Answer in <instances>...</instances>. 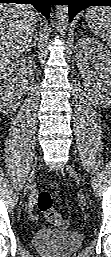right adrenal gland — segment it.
Masks as SVG:
<instances>
[{"mask_svg": "<svg viewBox=\"0 0 111 257\" xmlns=\"http://www.w3.org/2000/svg\"><path fill=\"white\" fill-rule=\"evenodd\" d=\"M36 40H37V36H34L32 41H31V43H30V45L25 50V53H28L31 50V48L36 49Z\"/></svg>", "mask_w": 111, "mask_h": 257, "instance_id": "2a0ac1e0", "label": "right adrenal gland"}]
</instances>
